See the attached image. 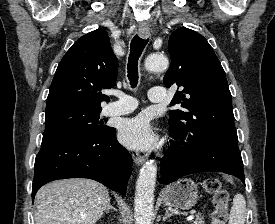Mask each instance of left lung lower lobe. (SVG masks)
Masks as SVG:
<instances>
[{
    "instance_id": "0a47b994",
    "label": "left lung lower lobe",
    "mask_w": 275,
    "mask_h": 224,
    "mask_svg": "<svg viewBox=\"0 0 275 224\" xmlns=\"http://www.w3.org/2000/svg\"><path fill=\"white\" fill-rule=\"evenodd\" d=\"M170 131L167 158L161 161V184L199 172H224L245 182L238 140L218 139L205 135L187 140Z\"/></svg>"
}]
</instances>
